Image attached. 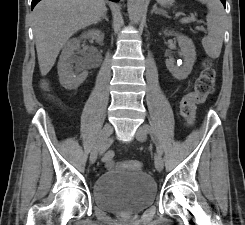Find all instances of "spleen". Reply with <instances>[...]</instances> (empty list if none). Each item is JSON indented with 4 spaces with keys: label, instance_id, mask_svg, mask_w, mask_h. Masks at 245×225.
<instances>
[{
    "label": "spleen",
    "instance_id": "1",
    "mask_svg": "<svg viewBox=\"0 0 245 225\" xmlns=\"http://www.w3.org/2000/svg\"><path fill=\"white\" fill-rule=\"evenodd\" d=\"M208 7L207 29L208 36L202 39V45L206 54L211 58H218L221 53L225 32V12L220 0H199ZM165 5L166 0H157Z\"/></svg>",
    "mask_w": 245,
    "mask_h": 225
}]
</instances>
